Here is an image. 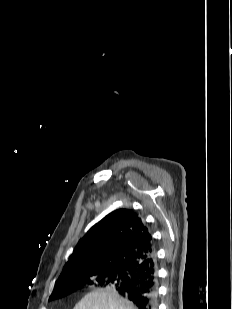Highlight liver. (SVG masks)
<instances>
[{
    "instance_id": "obj_1",
    "label": "liver",
    "mask_w": 232,
    "mask_h": 309,
    "mask_svg": "<svg viewBox=\"0 0 232 309\" xmlns=\"http://www.w3.org/2000/svg\"><path fill=\"white\" fill-rule=\"evenodd\" d=\"M73 309H137L130 301L111 288L97 289L86 294Z\"/></svg>"
}]
</instances>
